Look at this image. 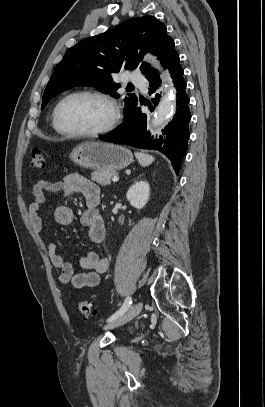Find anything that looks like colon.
Segmentation results:
<instances>
[{
	"instance_id": "colon-1",
	"label": "colon",
	"mask_w": 265,
	"mask_h": 407,
	"mask_svg": "<svg viewBox=\"0 0 265 407\" xmlns=\"http://www.w3.org/2000/svg\"><path fill=\"white\" fill-rule=\"evenodd\" d=\"M30 166L33 170H41L44 168L45 160L41 150L34 149L32 151ZM76 306L83 318H90L95 314L91 303L86 300H78Z\"/></svg>"
}]
</instances>
